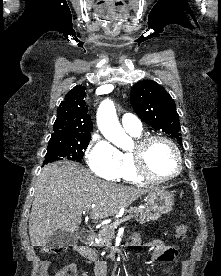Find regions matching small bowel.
<instances>
[{"mask_svg": "<svg viewBox=\"0 0 221 276\" xmlns=\"http://www.w3.org/2000/svg\"><path fill=\"white\" fill-rule=\"evenodd\" d=\"M132 242L134 244H138L140 242V239L137 236H133ZM146 246L153 249L151 259L154 262L174 261L178 256V252L174 247L166 245L161 240H153L151 242H148ZM74 251L78 255L86 258L89 261V263L93 267V272L95 276H106L105 262L97 257V254L93 249L84 246H76L74 247Z\"/></svg>", "mask_w": 221, "mask_h": 276, "instance_id": "small-bowel-1", "label": "small bowel"}]
</instances>
